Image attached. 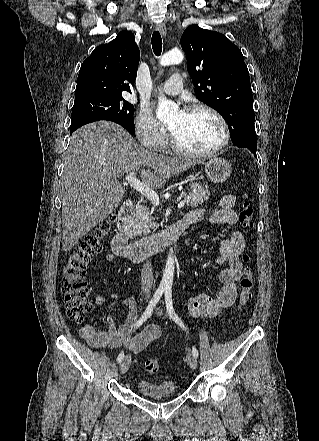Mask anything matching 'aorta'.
I'll list each match as a JSON object with an SVG mask.
<instances>
[{"label": "aorta", "mask_w": 319, "mask_h": 441, "mask_svg": "<svg viewBox=\"0 0 319 441\" xmlns=\"http://www.w3.org/2000/svg\"><path fill=\"white\" fill-rule=\"evenodd\" d=\"M184 55L179 49H173L165 53L160 58L161 66H169L173 64H179L183 61ZM178 109V106L172 102L168 101L165 97H159V104L157 108V117L160 121L166 122L172 119L174 112ZM174 276V257L172 250L168 255L167 262L165 265V270L161 280V287H171L173 283Z\"/></svg>", "instance_id": "aorta-1"}]
</instances>
